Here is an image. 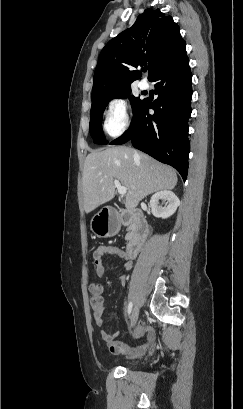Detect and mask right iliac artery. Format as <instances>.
Segmentation results:
<instances>
[{"label": "right iliac artery", "instance_id": "1", "mask_svg": "<svg viewBox=\"0 0 243 409\" xmlns=\"http://www.w3.org/2000/svg\"><path fill=\"white\" fill-rule=\"evenodd\" d=\"M132 307H133L132 302H129V304H128V308H127V313H128V315H130V314H131V312H132Z\"/></svg>", "mask_w": 243, "mask_h": 409}]
</instances>
